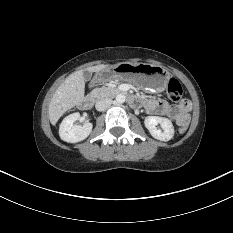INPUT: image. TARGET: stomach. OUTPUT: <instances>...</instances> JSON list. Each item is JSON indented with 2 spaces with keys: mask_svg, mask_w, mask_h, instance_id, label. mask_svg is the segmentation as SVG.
<instances>
[{
  "mask_svg": "<svg viewBox=\"0 0 233 233\" xmlns=\"http://www.w3.org/2000/svg\"><path fill=\"white\" fill-rule=\"evenodd\" d=\"M115 79L132 82L149 92H161L170 80V73L154 64L123 62L96 72L94 83H106Z\"/></svg>",
  "mask_w": 233,
  "mask_h": 233,
  "instance_id": "stomach-1",
  "label": "stomach"
}]
</instances>
